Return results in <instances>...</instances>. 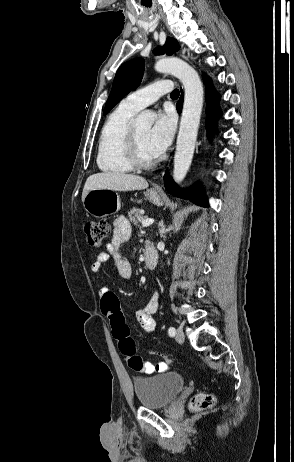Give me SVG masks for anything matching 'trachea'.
<instances>
[{
  "mask_svg": "<svg viewBox=\"0 0 294 462\" xmlns=\"http://www.w3.org/2000/svg\"><path fill=\"white\" fill-rule=\"evenodd\" d=\"M179 96V90L175 89L171 92V97L172 98H177Z\"/></svg>",
  "mask_w": 294,
  "mask_h": 462,
  "instance_id": "trachea-1",
  "label": "trachea"
}]
</instances>
